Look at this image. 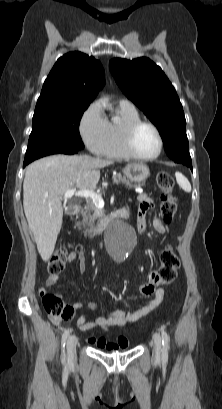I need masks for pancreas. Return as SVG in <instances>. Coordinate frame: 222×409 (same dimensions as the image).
Returning a JSON list of instances; mask_svg holds the SVG:
<instances>
[{
	"label": "pancreas",
	"instance_id": "cf45deb5",
	"mask_svg": "<svg viewBox=\"0 0 222 409\" xmlns=\"http://www.w3.org/2000/svg\"><path fill=\"white\" fill-rule=\"evenodd\" d=\"M114 182H125L127 185L131 186V184L126 180L125 177H122L121 174H117L113 176ZM102 195V192L99 193ZM102 209L98 208L92 201V199H88L86 201V205L81 212L82 222L80 225L82 227H86V234H95V220L102 216Z\"/></svg>",
	"mask_w": 222,
	"mask_h": 409
}]
</instances>
